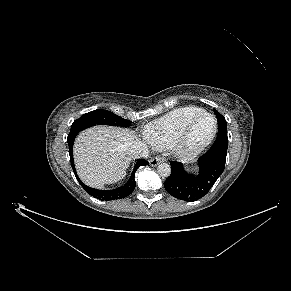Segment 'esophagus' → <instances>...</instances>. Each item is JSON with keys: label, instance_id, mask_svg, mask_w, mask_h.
Here are the masks:
<instances>
[{"label": "esophagus", "instance_id": "obj_1", "mask_svg": "<svg viewBox=\"0 0 291 291\" xmlns=\"http://www.w3.org/2000/svg\"><path fill=\"white\" fill-rule=\"evenodd\" d=\"M162 160H163V158H161V157H155V158H152L149 161V163L151 166H157Z\"/></svg>", "mask_w": 291, "mask_h": 291}]
</instances>
